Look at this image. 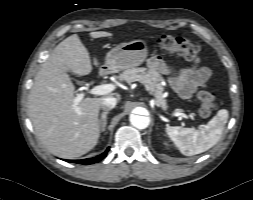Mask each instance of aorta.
<instances>
[{
  "mask_svg": "<svg viewBox=\"0 0 253 200\" xmlns=\"http://www.w3.org/2000/svg\"><path fill=\"white\" fill-rule=\"evenodd\" d=\"M130 122L138 129H145L149 126L150 119L146 116L131 114Z\"/></svg>",
  "mask_w": 253,
  "mask_h": 200,
  "instance_id": "762f6f07",
  "label": "aorta"
}]
</instances>
